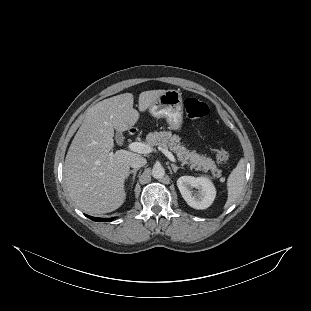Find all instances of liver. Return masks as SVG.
<instances>
[{
    "label": "liver",
    "mask_w": 311,
    "mask_h": 311,
    "mask_svg": "<svg viewBox=\"0 0 311 311\" xmlns=\"http://www.w3.org/2000/svg\"><path fill=\"white\" fill-rule=\"evenodd\" d=\"M167 90L142 91L138 95V110L133 108L134 94L123 93L92 106L68 149L63 179L69 197L83 211L106 214L119 209L126 201L125 182L130 173L129 162L140 153L127 150L109 154L114 145V132L132 129L140 113L150 110Z\"/></svg>",
    "instance_id": "1"
}]
</instances>
